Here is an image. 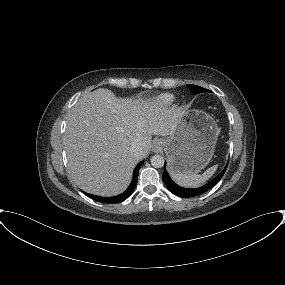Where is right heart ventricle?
Segmentation results:
<instances>
[{
	"mask_svg": "<svg viewBox=\"0 0 285 285\" xmlns=\"http://www.w3.org/2000/svg\"><path fill=\"white\" fill-rule=\"evenodd\" d=\"M174 102L173 95L170 94H162L157 98V103L160 106H169Z\"/></svg>",
	"mask_w": 285,
	"mask_h": 285,
	"instance_id": "obj_1",
	"label": "right heart ventricle"
}]
</instances>
